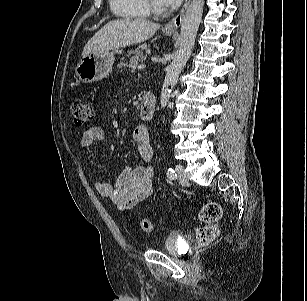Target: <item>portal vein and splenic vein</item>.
I'll return each mask as SVG.
<instances>
[{
  "label": "portal vein and splenic vein",
  "instance_id": "obj_1",
  "mask_svg": "<svg viewBox=\"0 0 307 301\" xmlns=\"http://www.w3.org/2000/svg\"><path fill=\"white\" fill-rule=\"evenodd\" d=\"M146 68V65L145 64H140L139 66H138V69L139 70H142V69H145Z\"/></svg>",
  "mask_w": 307,
  "mask_h": 301
}]
</instances>
